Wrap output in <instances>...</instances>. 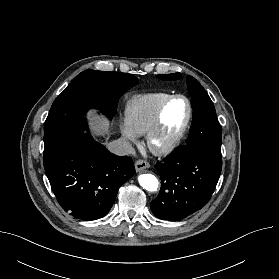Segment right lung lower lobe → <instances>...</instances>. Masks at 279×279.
<instances>
[{
    "label": "right lung lower lobe",
    "instance_id": "right-lung-lower-lobe-1",
    "mask_svg": "<svg viewBox=\"0 0 279 279\" xmlns=\"http://www.w3.org/2000/svg\"><path fill=\"white\" fill-rule=\"evenodd\" d=\"M45 171L61 207L77 219L90 221L108 213L135 167L131 157L110 153L81 130Z\"/></svg>",
    "mask_w": 279,
    "mask_h": 279
}]
</instances>
